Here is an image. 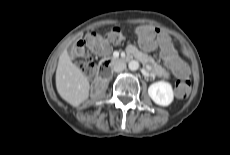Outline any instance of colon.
Segmentation results:
<instances>
[{
	"mask_svg": "<svg viewBox=\"0 0 230 155\" xmlns=\"http://www.w3.org/2000/svg\"><path fill=\"white\" fill-rule=\"evenodd\" d=\"M124 41V34L119 27L112 28L105 35L99 33H90L79 42L74 48L75 55L80 59V67L88 74L94 73V63L89 57V50L96 52H104L106 44L119 45ZM177 76L176 94L179 97H186L190 89V81L188 79V70L184 64H181L175 71Z\"/></svg>",
	"mask_w": 230,
	"mask_h": 155,
	"instance_id": "obj_1",
	"label": "colon"
}]
</instances>
